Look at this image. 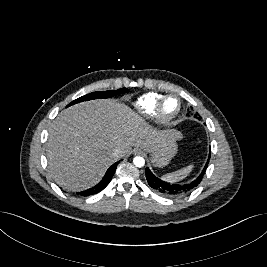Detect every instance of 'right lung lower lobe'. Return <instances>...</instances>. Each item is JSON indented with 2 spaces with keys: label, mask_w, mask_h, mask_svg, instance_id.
Segmentation results:
<instances>
[{
  "label": "right lung lower lobe",
  "mask_w": 267,
  "mask_h": 267,
  "mask_svg": "<svg viewBox=\"0 0 267 267\" xmlns=\"http://www.w3.org/2000/svg\"><path fill=\"white\" fill-rule=\"evenodd\" d=\"M119 162H116L114 163L106 172L105 176L103 177V179L100 181V183H98L96 186L88 189V190H85V191H82L80 192L79 194L81 196H89V195H93V194H97L98 192L102 191L108 184L109 182L111 181L113 175H114V172L116 170V167H117V164Z\"/></svg>",
  "instance_id": "1"
}]
</instances>
